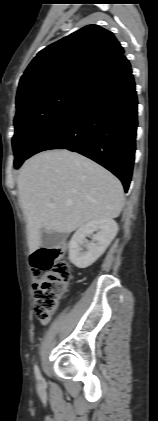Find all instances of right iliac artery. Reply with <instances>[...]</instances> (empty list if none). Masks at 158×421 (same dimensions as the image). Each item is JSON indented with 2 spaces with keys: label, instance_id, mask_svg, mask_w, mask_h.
<instances>
[{
  "label": "right iliac artery",
  "instance_id": "right-iliac-artery-1",
  "mask_svg": "<svg viewBox=\"0 0 158 421\" xmlns=\"http://www.w3.org/2000/svg\"><path fill=\"white\" fill-rule=\"evenodd\" d=\"M34 372H35L36 379L39 381L41 379V373L37 365L34 366Z\"/></svg>",
  "mask_w": 158,
  "mask_h": 421
}]
</instances>
